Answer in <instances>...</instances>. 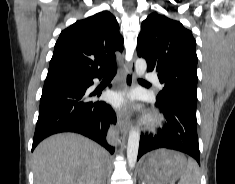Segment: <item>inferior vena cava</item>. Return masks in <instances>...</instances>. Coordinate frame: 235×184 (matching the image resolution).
I'll return each mask as SVG.
<instances>
[{
    "mask_svg": "<svg viewBox=\"0 0 235 184\" xmlns=\"http://www.w3.org/2000/svg\"><path fill=\"white\" fill-rule=\"evenodd\" d=\"M117 136H118L117 130H115V128H109L108 134H107V142H109L111 146H116Z\"/></svg>",
    "mask_w": 235,
    "mask_h": 184,
    "instance_id": "602c4592",
    "label": "inferior vena cava"
}]
</instances>
